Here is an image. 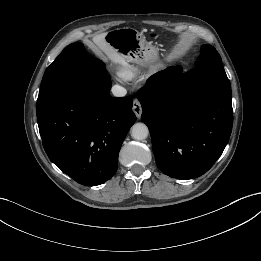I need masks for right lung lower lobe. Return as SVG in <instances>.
Instances as JSON below:
<instances>
[{
    "instance_id": "1",
    "label": "right lung lower lobe",
    "mask_w": 261,
    "mask_h": 261,
    "mask_svg": "<svg viewBox=\"0 0 261 261\" xmlns=\"http://www.w3.org/2000/svg\"><path fill=\"white\" fill-rule=\"evenodd\" d=\"M107 76L76 82L37 109L43 147L76 182L102 184L117 171L118 155L136 121L130 97L110 98Z\"/></svg>"
}]
</instances>
